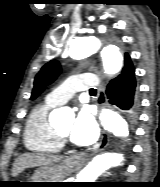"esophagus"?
Returning a JSON list of instances; mask_svg holds the SVG:
<instances>
[{"mask_svg": "<svg viewBox=\"0 0 160 187\" xmlns=\"http://www.w3.org/2000/svg\"><path fill=\"white\" fill-rule=\"evenodd\" d=\"M107 145H108V139H105L104 137H102L100 143L98 145L94 146V148L92 150V154H89V153L75 154L72 156V161L77 164H84V163L88 162L91 155L104 150L107 147Z\"/></svg>", "mask_w": 160, "mask_h": 187, "instance_id": "1", "label": "esophagus"}]
</instances>
